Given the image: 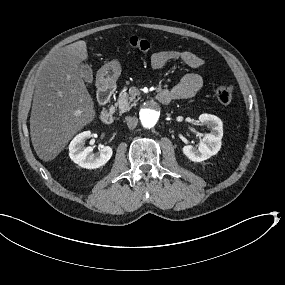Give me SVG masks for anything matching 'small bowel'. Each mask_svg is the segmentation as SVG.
Wrapping results in <instances>:
<instances>
[{"label":"small bowel","mask_w":285,"mask_h":285,"mask_svg":"<svg viewBox=\"0 0 285 285\" xmlns=\"http://www.w3.org/2000/svg\"><path fill=\"white\" fill-rule=\"evenodd\" d=\"M171 60H178L193 69H200L204 65V60L197 54L178 50L157 51L152 54L150 64L153 70H159ZM202 84L203 80L200 74L188 73L167 91L171 94L172 99H188L198 93Z\"/></svg>","instance_id":"obj_1"}]
</instances>
